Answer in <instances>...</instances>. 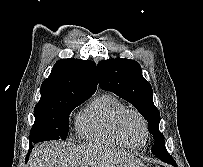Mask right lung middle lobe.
Wrapping results in <instances>:
<instances>
[{
    "mask_svg": "<svg viewBox=\"0 0 203 167\" xmlns=\"http://www.w3.org/2000/svg\"><path fill=\"white\" fill-rule=\"evenodd\" d=\"M87 99H68L53 106L35 108V122L30 131V143H38L46 140H66L71 111Z\"/></svg>",
    "mask_w": 203,
    "mask_h": 167,
    "instance_id": "right-lung-middle-lobe-1",
    "label": "right lung middle lobe"
}]
</instances>
